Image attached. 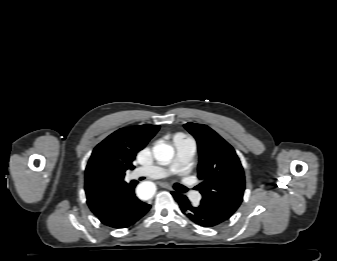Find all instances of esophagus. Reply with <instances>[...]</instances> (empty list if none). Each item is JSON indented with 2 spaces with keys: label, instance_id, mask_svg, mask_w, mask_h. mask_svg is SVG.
I'll return each instance as SVG.
<instances>
[{
  "label": "esophagus",
  "instance_id": "1",
  "mask_svg": "<svg viewBox=\"0 0 337 261\" xmlns=\"http://www.w3.org/2000/svg\"><path fill=\"white\" fill-rule=\"evenodd\" d=\"M161 187L163 188H166V189H169V190H172V188L168 185V184H165V183H161L160 184Z\"/></svg>",
  "mask_w": 337,
  "mask_h": 261
}]
</instances>
